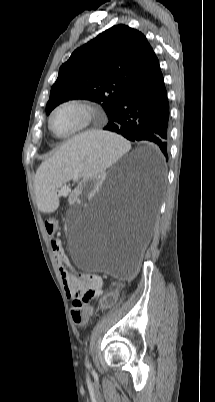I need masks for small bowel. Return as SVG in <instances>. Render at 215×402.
<instances>
[{
	"label": "small bowel",
	"instance_id": "small-bowel-1",
	"mask_svg": "<svg viewBox=\"0 0 215 402\" xmlns=\"http://www.w3.org/2000/svg\"><path fill=\"white\" fill-rule=\"evenodd\" d=\"M50 245L59 264L64 288L69 298H81L89 292H92L97 296L103 294L102 278L100 276L92 275V277H88L86 275H82L81 277H78L74 274H70L62 266L67 258L62 246V242L59 238L52 237L50 239Z\"/></svg>",
	"mask_w": 215,
	"mask_h": 402
}]
</instances>
